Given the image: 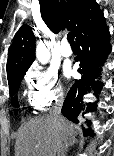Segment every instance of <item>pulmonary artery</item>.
<instances>
[{
    "instance_id": "1",
    "label": "pulmonary artery",
    "mask_w": 114,
    "mask_h": 156,
    "mask_svg": "<svg viewBox=\"0 0 114 156\" xmlns=\"http://www.w3.org/2000/svg\"><path fill=\"white\" fill-rule=\"evenodd\" d=\"M60 54L63 57H70L73 54L70 45L68 44V42L65 39H63V41L61 43Z\"/></svg>"
}]
</instances>
